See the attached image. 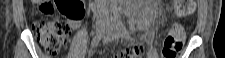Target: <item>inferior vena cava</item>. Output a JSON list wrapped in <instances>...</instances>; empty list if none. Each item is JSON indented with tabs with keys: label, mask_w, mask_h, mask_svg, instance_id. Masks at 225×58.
<instances>
[{
	"label": "inferior vena cava",
	"mask_w": 225,
	"mask_h": 58,
	"mask_svg": "<svg viewBox=\"0 0 225 58\" xmlns=\"http://www.w3.org/2000/svg\"><path fill=\"white\" fill-rule=\"evenodd\" d=\"M97 15L103 19L107 18V10L105 8L104 0H97Z\"/></svg>",
	"instance_id": "inferior-vena-cava-1"
}]
</instances>
